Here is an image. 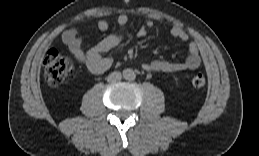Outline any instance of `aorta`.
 I'll return each instance as SVG.
<instances>
[{"label":"aorta","mask_w":259,"mask_h":156,"mask_svg":"<svg viewBox=\"0 0 259 156\" xmlns=\"http://www.w3.org/2000/svg\"><path fill=\"white\" fill-rule=\"evenodd\" d=\"M123 77L126 80H133L135 78V73L132 69L127 68L123 70Z\"/></svg>","instance_id":"762f6f07"}]
</instances>
